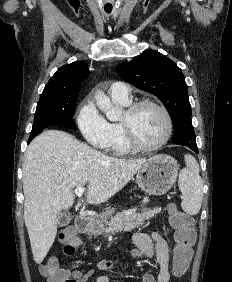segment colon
Masks as SVG:
<instances>
[{"label":"colon","instance_id":"colon-1","mask_svg":"<svg viewBox=\"0 0 232 282\" xmlns=\"http://www.w3.org/2000/svg\"><path fill=\"white\" fill-rule=\"evenodd\" d=\"M169 222L174 229L173 272L176 276H183L191 259V248L195 243L196 231L193 219L179 211L175 205H170ZM63 251L67 255L74 254L82 245L81 239L71 230H64L61 234ZM41 274L48 276L54 282H74V279L62 274L58 262L49 258L40 265Z\"/></svg>","mask_w":232,"mask_h":282}]
</instances>
